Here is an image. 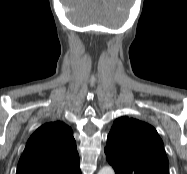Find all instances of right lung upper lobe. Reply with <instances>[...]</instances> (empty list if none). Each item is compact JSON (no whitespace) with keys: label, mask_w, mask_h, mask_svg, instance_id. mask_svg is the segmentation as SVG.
Listing matches in <instances>:
<instances>
[{"label":"right lung upper lobe","mask_w":187,"mask_h":174,"mask_svg":"<svg viewBox=\"0 0 187 174\" xmlns=\"http://www.w3.org/2000/svg\"><path fill=\"white\" fill-rule=\"evenodd\" d=\"M16 174H81L71 128L60 121L38 128L26 144Z\"/></svg>","instance_id":"right-lung-upper-lobe-1"}]
</instances>
